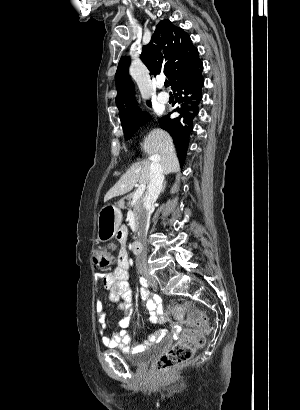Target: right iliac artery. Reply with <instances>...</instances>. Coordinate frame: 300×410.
Listing matches in <instances>:
<instances>
[{"label":"right iliac artery","mask_w":300,"mask_h":410,"mask_svg":"<svg viewBox=\"0 0 300 410\" xmlns=\"http://www.w3.org/2000/svg\"><path fill=\"white\" fill-rule=\"evenodd\" d=\"M140 283L144 287H148V282L144 277H140Z\"/></svg>","instance_id":"1"}]
</instances>
